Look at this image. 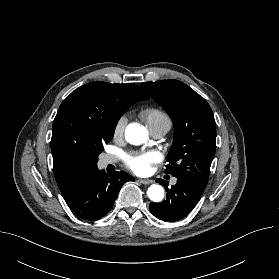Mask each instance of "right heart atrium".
Masks as SVG:
<instances>
[{
    "label": "right heart atrium",
    "instance_id": "d8ad5b80",
    "mask_svg": "<svg viewBox=\"0 0 279 279\" xmlns=\"http://www.w3.org/2000/svg\"><path fill=\"white\" fill-rule=\"evenodd\" d=\"M127 124V117L122 115L120 116L113 127V135L115 138L121 137L124 134L125 128Z\"/></svg>",
    "mask_w": 279,
    "mask_h": 279
}]
</instances>
